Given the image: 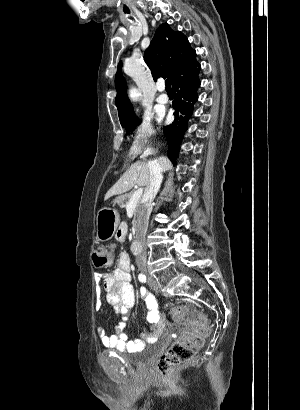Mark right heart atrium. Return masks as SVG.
I'll return each instance as SVG.
<instances>
[{
    "instance_id": "d8ad5b80",
    "label": "right heart atrium",
    "mask_w": 300,
    "mask_h": 410,
    "mask_svg": "<svg viewBox=\"0 0 300 410\" xmlns=\"http://www.w3.org/2000/svg\"><path fill=\"white\" fill-rule=\"evenodd\" d=\"M154 131L149 116H143L134 130V139L131 154L136 155L151 141Z\"/></svg>"
}]
</instances>
